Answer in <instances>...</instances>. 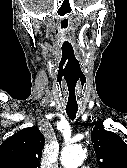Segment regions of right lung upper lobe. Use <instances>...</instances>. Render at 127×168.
<instances>
[{
    "instance_id": "cb5924a9",
    "label": "right lung upper lobe",
    "mask_w": 127,
    "mask_h": 168,
    "mask_svg": "<svg viewBox=\"0 0 127 168\" xmlns=\"http://www.w3.org/2000/svg\"><path fill=\"white\" fill-rule=\"evenodd\" d=\"M44 143L36 126L20 130L0 145V168H39Z\"/></svg>"
}]
</instances>
